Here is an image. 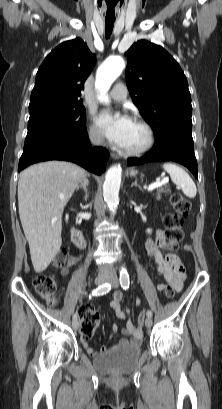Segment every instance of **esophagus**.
<instances>
[{
    "mask_svg": "<svg viewBox=\"0 0 222 409\" xmlns=\"http://www.w3.org/2000/svg\"><path fill=\"white\" fill-rule=\"evenodd\" d=\"M111 157H112L113 159H118V158H119V155L116 154V153H111Z\"/></svg>",
    "mask_w": 222,
    "mask_h": 409,
    "instance_id": "obj_1",
    "label": "esophagus"
}]
</instances>
